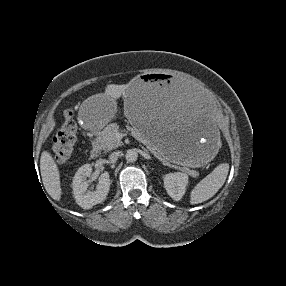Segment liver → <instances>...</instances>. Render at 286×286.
Wrapping results in <instances>:
<instances>
[{"label":"liver","mask_w":286,"mask_h":286,"mask_svg":"<svg viewBox=\"0 0 286 286\" xmlns=\"http://www.w3.org/2000/svg\"><path fill=\"white\" fill-rule=\"evenodd\" d=\"M128 85H114L105 89V92L101 95L105 99L116 101L124 95ZM40 172L45 190L51 198L56 201L61 199L62 189L60 185V173L55 159L52 155L44 151L40 158Z\"/></svg>","instance_id":"obj_1"}]
</instances>
